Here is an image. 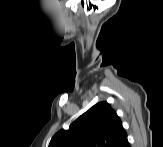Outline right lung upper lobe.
I'll return each mask as SVG.
<instances>
[{"instance_id": "cb5924a9", "label": "right lung upper lobe", "mask_w": 163, "mask_h": 147, "mask_svg": "<svg viewBox=\"0 0 163 147\" xmlns=\"http://www.w3.org/2000/svg\"><path fill=\"white\" fill-rule=\"evenodd\" d=\"M126 134L120 118L107 102H99L58 131L49 147H113Z\"/></svg>"}]
</instances>
